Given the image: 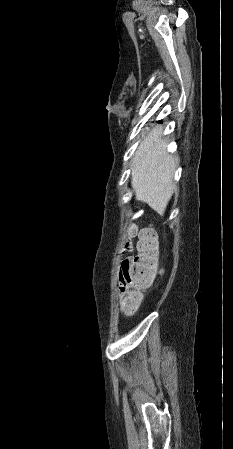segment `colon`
Masks as SVG:
<instances>
[{
  "label": "colon",
  "instance_id": "obj_1",
  "mask_svg": "<svg viewBox=\"0 0 233 449\" xmlns=\"http://www.w3.org/2000/svg\"><path fill=\"white\" fill-rule=\"evenodd\" d=\"M138 250L137 256L126 258L121 265L131 286V294L125 304L128 312L137 307L142 292L152 286L161 271L159 238L153 229L146 228L141 232Z\"/></svg>",
  "mask_w": 233,
  "mask_h": 449
}]
</instances>
